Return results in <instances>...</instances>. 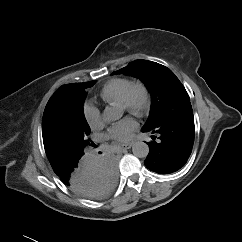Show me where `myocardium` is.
<instances>
[{"label":"myocardium","instance_id":"1","mask_svg":"<svg viewBox=\"0 0 242 242\" xmlns=\"http://www.w3.org/2000/svg\"><path fill=\"white\" fill-rule=\"evenodd\" d=\"M120 105L134 115H144L151 105V94L147 84L141 80L131 82Z\"/></svg>","mask_w":242,"mask_h":242}]
</instances>
